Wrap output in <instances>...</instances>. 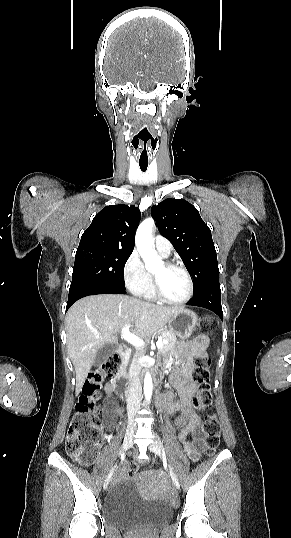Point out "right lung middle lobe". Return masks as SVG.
<instances>
[{"mask_svg":"<svg viewBox=\"0 0 291 538\" xmlns=\"http://www.w3.org/2000/svg\"><path fill=\"white\" fill-rule=\"evenodd\" d=\"M131 253L112 249L77 251L70 289L90 285L125 289L124 266Z\"/></svg>","mask_w":291,"mask_h":538,"instance_id":"obj_1","label":"right lung middle lobe"}]
</instances>
